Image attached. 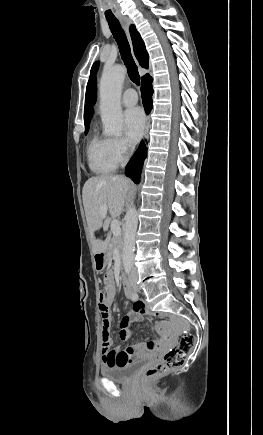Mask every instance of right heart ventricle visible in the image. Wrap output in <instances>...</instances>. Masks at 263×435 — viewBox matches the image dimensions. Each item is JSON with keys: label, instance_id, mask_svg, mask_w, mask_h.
<instances>
[{"label": "right heart ventricle", "instance_id": "obj_1", "mask_svg": "<svg viewBox=\"0 0 263 435\" xmlns=\"http://www.w3.org/2000/svg\"><path fill=\"white\" fill-rule=\"evenodd\" d=\"M87 159L90 170L97 175L111 174L118 165L112 155L111 139L96 131L87 146Z\"/></svg>", "mask_w": 263, "mask_h": 435}]
</instances>
